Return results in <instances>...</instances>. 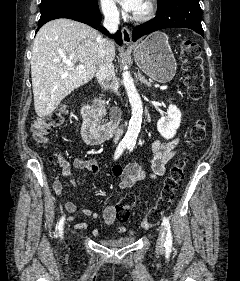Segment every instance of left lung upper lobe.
Listing matches in <instances>:
<instances>
[{
    "instance_id": "1",
    "label": "left lung upper lobe",
    "mask_w": 240,
    "mask_h": 281,
    "mask_svg": "<svg viewBox=\"0 0 240 281\" xmlns=\"http://www.w3.org/2000/svg\"><path fill=\"white\" fill-rule=\"evenodd\" d=\"M162 1H164V0H158V4H160Z\"/></svg>"
}]
</instances>
